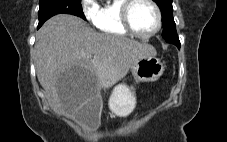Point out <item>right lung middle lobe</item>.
<instances>
[{
	"instance_id": "1",
	"label": "right lung middle lobe",
	"mask_w": 227,
	"mask_h": 142,
	"mask_svg": "<svg viewBox=\"0 0 227 142\" xmlns=\"http://www.w3.org/2000/svg\"><path fill=\"white\" fill-rule=\"evenodd\" d=\"M72 14L86 20L81 0H39V24L42 25L50 17L57 14Z\"/></svg>"
}]
</instances>
